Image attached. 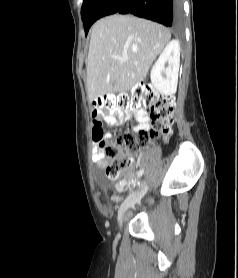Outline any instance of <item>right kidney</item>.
Wrapping results in <instances>:
<instances>
[{"mask_svg": "<svg viewBox=\"0 0 238 278\" xmlns=\"http://www.w3.org/2000/svg\"><path fill=\"white\" fill-rule=\"evenodd\" d=\"M166 63H168L167 67H165ZM179 65L180 44L178 40H172L167 44L151 69V83L160 93L173 95L176 92ZM162 73H165V78Z\"/></svg>", "mask_w": 238, "mask_h": 278, "instance_id": "right-kidney-1", "label": "right kidney"}]
</instances>
